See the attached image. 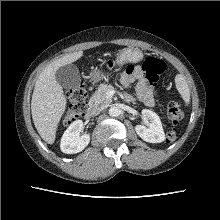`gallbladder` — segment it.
<instances>
[{"mask_svg":"<svg viewBox=\"0 0 220 220\" xmlns=\"http://www.w3.org/2000/svg\"><path fill=\"white\" fill-rule=\"evenodd\" d=\"M56 81L65 89L77 90L81 84V77L76 65L61 66L55 73Z\"/></svg>","mask_w":220,"mask_h":220,"instance_id":"1","label":"gallbladder"}]
</instances>
